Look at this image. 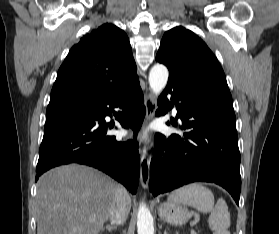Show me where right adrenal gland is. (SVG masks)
I'll return each mask as SVG.
<instances>
[{
	"label": "right adrenal gland",
	"instance_id": "1",
	"mask_svg": "<svg viewBox=\"0 0 279 234\" xmlns=\"http://www.w3.org/2000/svg\"><path fill=\"white\" fill-rule=\"evenodd\" d=\"M105 229H107L109 232H112L115 229H117V226L116 225H107L106 227L102 228V231H104Z\"/></svg>",
	"mask_w": 279,
	"mask_h": 234
}]
</instances>
